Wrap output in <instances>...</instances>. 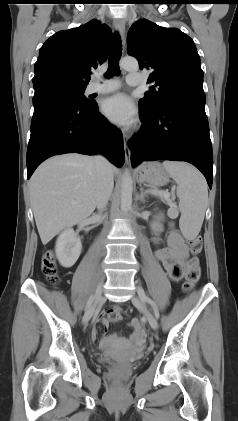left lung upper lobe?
I'll return each mask as SVG.
<instances>
[{"label": "left lung upper lobe", "mask_w": 238, "mask_h": 421, "mask_svg": "<svg viewBox=\"0 0 238 421\" xmlns=\"http://www.w3.org/2000/svg\"><path fill=\"white\" fill-rule=\"evenodd\" d=\"M128 53L140 69H151L148 83L155 85L139 100V109L153 113L172 96L203 90V71L194 41L181 30L164 28L146 19L128 32Z\"/></svg>", "instance_id": "1"}]
</instances>
